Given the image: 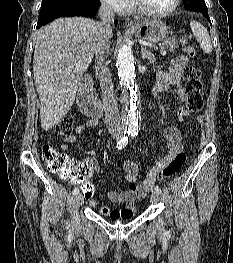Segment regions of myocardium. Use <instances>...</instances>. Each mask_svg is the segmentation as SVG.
Here are the masks:
<instances>
[{
    "mask_svg": "<svg viewBox=\"0 0 233 263\" xmlns=\"http://www.w3.org/2000/svg\"><path fill=\"white\" fill-rule=\"evenodd\" d=\"M132 3L134 9L143 16L150 18H163L172 14L178 8L180 0H173L172 5L168 9L161 12H152L147 10L140 4L139 0H132Z\"/></svg>",
    "mask_w": 233,
    "mask_h": 263,
    "instance_id": "1",
    "label": "myocardium"
}]
</instances>
